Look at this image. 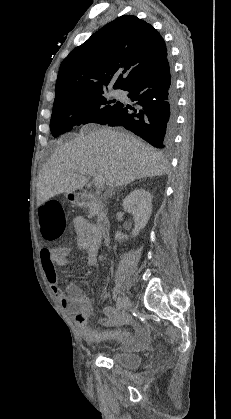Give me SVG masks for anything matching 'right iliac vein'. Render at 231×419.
<instances>
[{
	"instance_id": "right-iliac-vein-1",
	"label": "right iliac vein",
	"mask_w": 231,
	"mask_h": 419,
	"mask_svg": "<svg viewBox=\"0 0 231 419\" xmlns=\"http://www.w3.org/2000/svg\"><path fill=\"white\" fill-rule=\"evenodd\" d=\"M131 306V301L130 299L124 295L123 300H122V308L123 310H128Z\"/></svg>"
}]
</instances>
